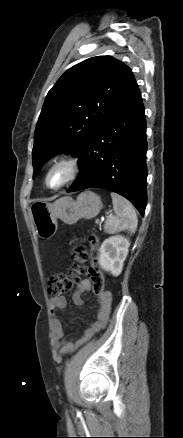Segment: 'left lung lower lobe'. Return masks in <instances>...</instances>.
I'll return each instance as SVG.
<instances>
[{
  "mask_svg": "<svg viewBox=\"0 0 183 438\" xmlns=\"http://www.w3.org/2000/svg\"><path fill=\"white\" fill-rule=\"evenodd\" d=\"M144 107L137 83L89 137L80 176L67 192L103 188L127 198L143 215L147 203Z\"/></svg>",
  "mask_w": 183,
  "mask_h": 438,
  "instance_id": "0a47b994",
  "label": "left lung lower lobe"
}]
</instances>
